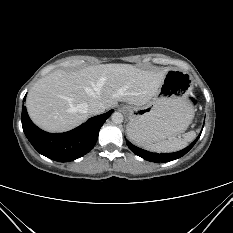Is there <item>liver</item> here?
<instances>
[{"label":"liver","instance_id":"1","mask_svg":"<svg viewBox=\"0 0 233 233\" xmlns=\"http://www.w3.org/2000/svg\"><path fill=\"white\" fill-rule=\"evenodd\" d=\"M168 70H142L129 64H101L73 72L55 70L32 86L27 111L40 128L65 132L89 118L88 106L93 101L103 103L106 109L118 102L147 104Z\"/></svg>","mask_w":233,"mask_h":233}]
</instances>
